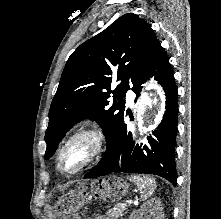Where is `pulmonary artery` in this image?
<instances>
[{
	"label": "pulmonary artery",
	"mask_w": 221,
	"mask_h": 219,
	"mask_svg": "<svg viewBox=\"0 0 221 219\" xmlns=\"http://www.w3.org/2000/svg\"><path fill=\"white\" fill-rule=\"evenodd\" d=\"M133 98H134L133 93L132 92H128L127 93V101H128V103L132 104L133 103Z\"/></svg>",
	"instance_id": "pulmonary-artery-1"
}]
</instances>
